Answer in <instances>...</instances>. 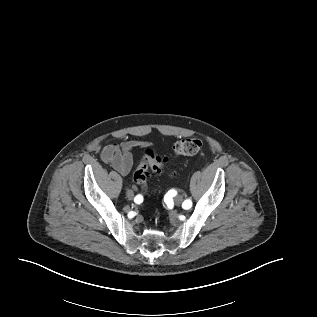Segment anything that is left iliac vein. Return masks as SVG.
Here are the masks:
<instances>
[{
    "instance_id": "4c4485c4",
    "label": "left iliac vein",
    "mask_w": 317,
    "mask_h": 317,
    "mask_svg": "<svg viewBox=\"0 0 317 317\" xmlns=\"http://www.w3.org/2000/svg\"><path fill=\"white\" fill-rule=\"evenodd\" d=\"M182 201H183V197L181 195H176L174 197V202L176 205H180L182 203Z\"/></svg>"
}]
</instances>
